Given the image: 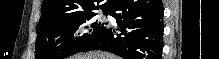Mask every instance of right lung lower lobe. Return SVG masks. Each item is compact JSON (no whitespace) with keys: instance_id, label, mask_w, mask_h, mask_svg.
Instances as JSON below:
<instances>
[{"instance_id":"1","label":"right lung lower lobe","mask_w":219,"mask_h":59,"mask_svg":"<svg viewBox=\"0 0 219 59\" xmlns=\"http://www.w3.org/2000/svg\"><path fill=\"white\" fill-rule=\"evenodd\" d=\"M109 15L117 20L118 27H107L80 52L103 50L123 59H161V0H115Z\"/></svg>"}]
</instances>
